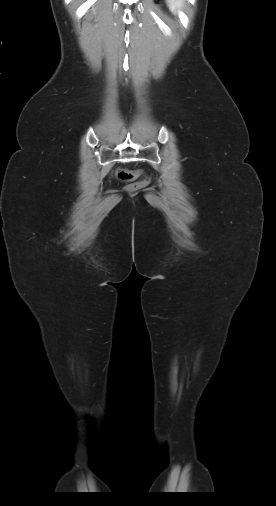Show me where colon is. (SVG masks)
<instances>
[{"label":"colon","mask_w":276,"mask_h":506,"mask_svg":"<svg viewBox=\"0 0 276 506\" xmlns=\"http://www.w3.org/2000/svg\"><path fill=\"white\" fill-rule=\"evenodd\" d=\"M143 176H144L143 172L140 170L133 171V172H129L123 168H120L117 170L118 179H120L121 181H124V182H131L128 185V189L130 191L140 190L141 188H143L144 186H146L148 184V178L143 177ZM139 177H143V179L140 181H137V182H132L134 179L139 178Z\"/></svg>","instance_id":"colon-1"}]
</instances>
